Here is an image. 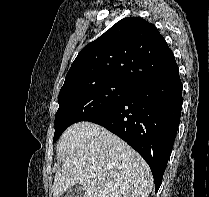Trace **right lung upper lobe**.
<instances>
[{"label":"right lung upper lobe","mask_w":209,"mask_h":197,"mask_svg":"<svg viewBox=\"0 0 209 197\" xmlns=\"http://www.w3.org/2000/svg\"><path fill=\"white\" fill-rule=\"evenodd\" d=\"M175 63L174 54L153 24L140 17L124 18L79 52L63 87L101 80L136 87Z\"/></svg>","instance_id":"1"}]
</instances>
